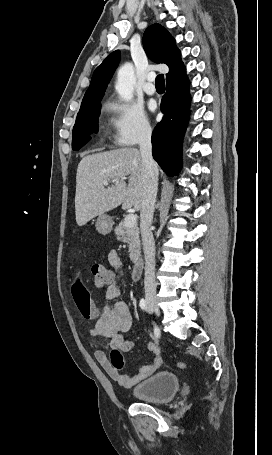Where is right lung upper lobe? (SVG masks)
I'll use <instances>...</instances> for the list:
<instances>
[{
    "instance_id": "right-lung-upper-lobe-1",
    "label": "right lung upper lobe",
    "mask_w": 272,
    "mask_h": 455,
    "mask_svg": "<svg viewBox=\"0 0 272 455\" xmlns=\"http://www.w3.org/2000/svg\"><path fill=\"white\" fill-rule=\"evenodd\" d=\"M143 46L148 57L156 63H165L169 67L166 81L179 77L186 72L181 60V52L176 47L175 39L160 24L149 26L143 35ZM120 61V51L108 55L95 69L90 86L86 91L80 110L100 104L104 92Z\"/></svg>"
}]
</instances>
